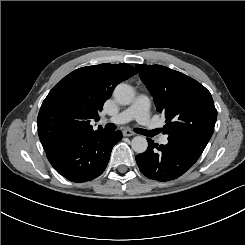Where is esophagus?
Returning <instances> with one entry per match:
<instances>
[{"mask_svg":"<svg viewBox=\"0 0 245 245\" xmlns=\"http://www.w3.org/2000/svg\"><path fill=\"white\" fill-rule=\"evenodd\" d=\"M135 133L129 129L123 130V136H134Z\"/></svg>","mask_w":245,"mask_h":245,"instance_id":"1","label":"esophagus"}]
</instances>
